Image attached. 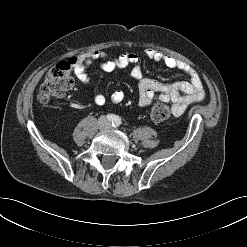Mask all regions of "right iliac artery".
Listing matches in <instances>:
<instances>
[{"label": "right iliac artery", "instance_id": "1", "mask_svg": "<svg viewBox=\"0 0 247 247\" xmlns=\"http://www.w3.org/2000/svg\"><path fill=\"white\" fill-rule=\"evenodd\" d=\"M107 119H108V121L114 123V121H115V119H116V116L113 115V114H108V115H107Z\"/></svg>", "mask_w": 247, "mask_h": 247}]
</instances>
